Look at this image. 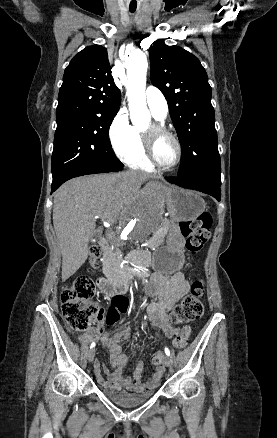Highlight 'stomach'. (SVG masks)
Listing matches in <instances>:
<instances>
[{"label": "stomach", "mask_w": 277, "mask_h": 438, "mask_svg": "<svg viewBox=\"0 0 277 438\" xmlns=\"http://www.w3.org/2000/svg\"><path fill=\"white\" fill-rule=\"evenodd\" d=\"M158 190L166 202L173 222L192 221L206 208L203 198L192 190L165 186ZM184 246L185 238L176 227L172 226L168 231L166 246L158 248L153 253L154 269L164 274L179 271L185 262Z\"/></svg>", "instance_id": "obj_1"}]
</instances>
